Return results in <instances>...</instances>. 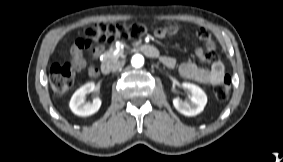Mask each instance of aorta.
Returning a JSON list of instances; mask_svg holds the SVG:
<instances>
[{
  "mask_svg": "<svg viewBox=\"0 0 283 162\" xmlns=\"http://www.w3.org/2000/svg\"><path fill=\"white\" fill-rule=\"evenodd\" d=\"M131 64L135 68H140L144 65V57L141 54L133 55L131 59Z\"/></svg>",
  "mask_w": 283,
  "mask_h": 162,
  "instance_id": "762f6f07",
  "label": "aorta"
}]
</instances>
